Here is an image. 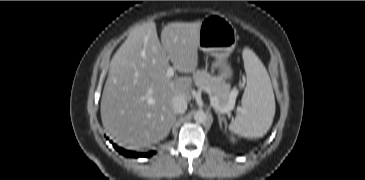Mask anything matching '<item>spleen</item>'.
Here are the masks:
<instances>
[{"label": "spleen", "instance_id": "obj_1", "mask_svg": "<svg viewBox=\"0 0 365 180\" xmlns=\"http://www.w3.org/2000/svg\"><path fill=\"white\" fill-rule=\"evenodd\" d=\"M244 68L247 76L241 105L242 110L229 124V130L238 136L253 139L265 135L275 115V97L268 72L250 50L243 51Z\"/></svg>", "mask_w": 365, "mask_h": 180}]
</instances>
